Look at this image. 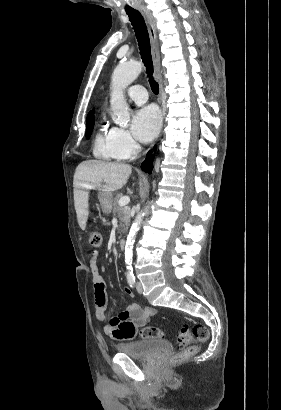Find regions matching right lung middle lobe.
<instances>
[{"mask_svg":"<svg viewBox=\"0 0 281 410\" xmlns=\"http://www.w3.org/2000/svg\"><path fill=\"white\" fill-rule=\"evenodd\" d=\"M94 126V116L88 117L86 120V138H90Z\"/></svg>","mask_w":281,"mask_h":410,"instance_id":"obj_1","label":"right lung middle lobe"}]
</instances>
